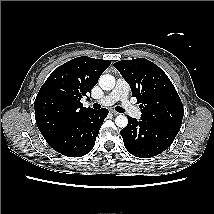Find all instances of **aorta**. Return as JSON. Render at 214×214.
I'll return each instance as SVG.
<instances>
[{"instance_id":"762f6f07","label":"aorta","mask_w":214,"mask_h":214,"mask_svg":"<svg viewBox=\"0 0 214 214\" xmlns=\"http://www.w3.org/2000/svg\"><path fill=\"white\" fill-rule=\"evenodd\" d=\"M115 78L112 75L105 74L99 78V85L103 90L109 91L115 87ZM115 124L120 128H125L128 124V119L124 115H118L115 118Z\"/></svg>"}]
</instances>
